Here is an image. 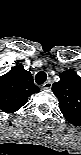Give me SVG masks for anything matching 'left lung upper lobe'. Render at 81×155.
Returning a JSON list of instances; mask_svg holds the SVG:
<instances>
[{"label": "left lung upper lobe", "instance_id": "5c2ea615", "mask_svg": "<svg viewBox=\"0 0 81 155\" xmlns=\"http://www.w3.org/2000/svg\"><path fill=\"white\" fill-rule=\"evenodd\" d=\"M52 91L59 99V107L66 120L75 126L81 125V77L72 70L60 74Z\"/></svg>", "mask_w": 81, "mask_h": 155}]
</instances>
